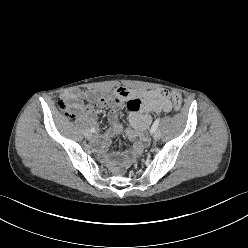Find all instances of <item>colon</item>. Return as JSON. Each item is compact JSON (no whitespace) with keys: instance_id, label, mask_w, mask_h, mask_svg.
<instances>
[{"instance_id":"colon-1","label":"colon","mask_w":248,"mask_h":248,"mask_svg":"<svg viewBox=\"0 0 248 248\" xmlns=\"http://www.w3.org/2000/svg\"><path fill=\"white\" fill-rule=\"evenodd\" d=\"M164 96L168 97L171 100L174 111H179L180 110V108L182 106V98L178 93L169 92L167 90H164ZM58 106L62 110H66L68 108L67 101L64 98L61 97L59 99V101H58ZM67 115L69 117H72L73 112L72 111H67Z\"/></svg>"}]
</instances>
